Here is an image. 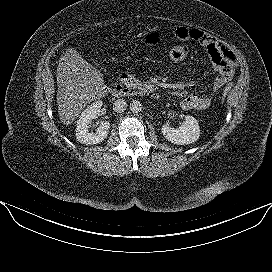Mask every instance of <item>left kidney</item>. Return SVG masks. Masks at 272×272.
<instances>
[{
  "label": "left kidney",
  "mask_w": 272,
  "mask_h": 272,
  "mask_svg": "<svg viewBox=\"0 0 272 272\" xmlns=\"http://www.w3.org/2000/svg\"><path fill=\"white\" fill-rule=\"evenodd\" d=\"M161 130L168 141L177 145L194 143L200 136L198 121L192 116H185V122L178 128L164 124Z\"/></svg>",
  "instance_id": "left-kidney-1"
}]
</instances>
